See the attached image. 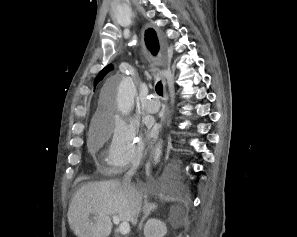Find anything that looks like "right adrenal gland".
<instances>
[{
	"mask_svg": "<svg viewBox=\"0 0 297 237\" xmlns=\"http://www.w3.org/2000/svg\"><path fill=\"white\" fill-rule=\"evenodd\" d=\"M157 209V204L149 202L147 197H145L144 200V216L139 224V229L142 228L144 220L149 216L151 211H154Z\"/></svg>",
	"mask_w": 297,
	"mask_h": 237,
	"instance_id": "2a0ac1e0",
	"label": "right adrenal gland"
}]
</instances>
